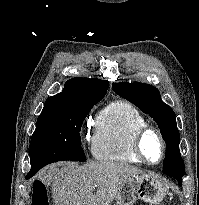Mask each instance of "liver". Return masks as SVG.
I'll return each mask as SVG.
<instances>
[{"label": "liver", "instance_id": "liver-1", "mask_svg": "<svg viewBox=\"0 0 199 205\" xmlns=\"http://www.w3.org/2000/svg\"><path fill=\"white\" fill-rule=\"evenodd\" d=\"M46 169L41 179L51 183L55 205H109L127 178L145 175L120 162L96 161L82 166L67 162L61 168L51 165Z\"/></svg>", "mask_w": 199, "mask_h": 205}]
</instances>
